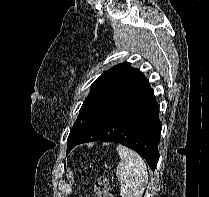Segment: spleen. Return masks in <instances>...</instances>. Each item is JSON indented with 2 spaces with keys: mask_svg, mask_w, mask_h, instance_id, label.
Listing matches in <instances>:
<instances>
[{
  "mask_svg": "<svg viewBox=\"0 0 209 197\" xmlns=\"http://www.w3.org/2000/svg\"><path fill=\"white\" fill-rule=\"evenodd\" d=\"M117 152L121 158L116 170L121 197H142L148 183L144 160L136 152L122 145L117 146Z\"/></svg>",
  "mask_w": 209,
  "mask_h": 197,
  "instance_id": "spleen-1",
  "label": "spleen"
}]
</instances>
